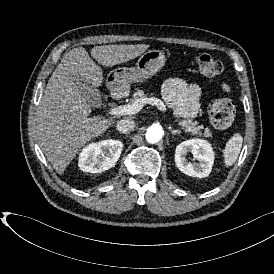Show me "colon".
I'll return each mask as SVG.
<instances>
[{
  "instance_id": "5ec220e1",
  "label": "colon",
  "mask_w": 274,
  "mask_h": 274,
  "mask_svg": "<svg viewBox=\"0 0 274 274\" xmlns=\"http://www.w3.org/2000/svg\"><path fill=\"white\" fill-rule=\"evenodd\" d=\"M199 71L211 78L223 76V65L220 60L207 53H200L195 57ZM208 115L213 127L218 130H227L234 124L236 107L229 99L215 100L209 107Z\"/></svg>"
}]
</instances>
